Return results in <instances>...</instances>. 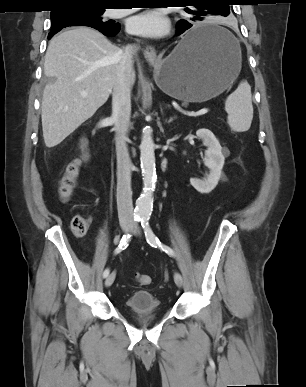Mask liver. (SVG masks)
<instances>
[{
  "label": "liver",
  "instance_id": "obj_1",
  "mask_svg": "<svg viewBox=\"0 0 306 387\" xmlns=\"http://www.w3.org/2000/svg\"><path fill=\"white\" fill-rule=\"evenodd\" d=\"M121 54L102 33L88 27L69 29L51 39L44 74L53 81L45 86L41 105L46 147L60 144L106 103Z\"/></svg>",
  "mask_w": 306,
  "mask_h": 387
}]
</instances>
